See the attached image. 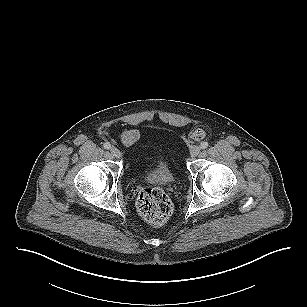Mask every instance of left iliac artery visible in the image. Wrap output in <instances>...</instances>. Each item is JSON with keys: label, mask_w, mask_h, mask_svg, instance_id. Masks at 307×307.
I'll return each mask as SVG.
<instances>
[{"label": "left iliac artery", "mask_w": 307, "mask_h": 307, "mask_svg": "<svg viewBox=\"0 0 307 307\" xmlns=\"http://www.w3.org/2000/svg\"><path fill=\"white\" fill-rule=\"evenodd\" d=\"M208 142H206V141H203V142H201V144H200V147L202 148V149H206L207 147H208Z\"/></svg>", "instance_id": "44dca946"}]
</instances>
